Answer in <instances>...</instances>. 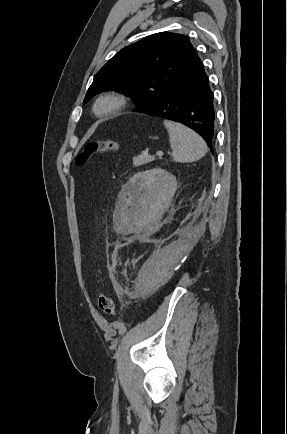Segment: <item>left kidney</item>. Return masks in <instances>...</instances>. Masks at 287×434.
Segmentation results:
<instances>
[{"label":"left kidney","instance_id":"left-kidney-1","mask_svg":"<svg viewBox=\"0 0 287 434\" xmlns=\"http://www.w3.org/2000/svg\"><path fill=\"white\" fill-rule=\"evenodd\" d=\"M177 188L176 177L160 168L134 175L125 185L124 204L136 219H146L157 208L169 206ZM128 206L132 209L129 210Z\"/></svg>","mask_w":287,"mask_h":434}]
</instances>
